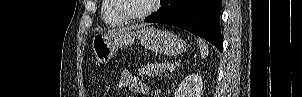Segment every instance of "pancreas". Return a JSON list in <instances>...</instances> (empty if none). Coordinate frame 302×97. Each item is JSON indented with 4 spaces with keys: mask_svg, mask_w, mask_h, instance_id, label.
I'll return each instance as SVG.
<instances>
[{
    "mask_svg": "<svg viewBox=\"0 0 302 97\" xmlns=\"http://www.w3.org/2000/svg\"><path fill=\"white\" fill-rule=\"evenodd\" d=\"M170 67L169 62H159L144 65L139 69V75L141 77H154V75L161 76L164 73H167V70Z\"/></svg>",
    "mask_w": 302,
    "mask_h": 97,
    "instance_id": "cf45deb5",
    "label": "pancreas"
}]
</instances>
